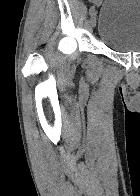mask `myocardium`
Here are the masks:
<instances>
[{
	"label": "myocardium",
	"mask_w": 140,
	"mask_h": 196,
	"mask_svg": "<svg viewBox=\"0 0 140 196\" xmlns=\"http://www.w3.org/2000/svg\"><path fill=\"white\" fill-rule=\"evenodd\" d=\"M94 192H112V191H94ZM116 192V191H113Z\"/></svg>",
	"instance_id": "obj_1"
}]
</instances>
